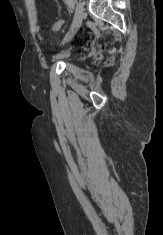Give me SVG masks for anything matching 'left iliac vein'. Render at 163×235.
Masks as SVG:
<instances>
[{
	"mask_svg": "<svg viewBox=\"0 0 163 235\" xmlns=\"http://www.w3.org/2000/svg\"><path fill=\"white\" fill-rule=\"evenodd\" d=\"M83 18H84L83 4L81 2H77L73 22L71 24L70 29L66 33L63 39V42H69L73 38V36L76 34L78 29L80 28Z\"/></svg>",
	"mask_w": 163,
	"mask_h": 235,
	"instance_id": "4c4485c4",
	"label": "left iliac vein"
}]
</instances>
